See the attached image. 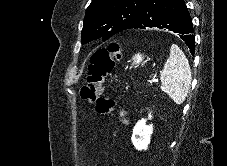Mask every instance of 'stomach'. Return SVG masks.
I'll return each mask as SVG.
<instances>
[{
	"mask_svg": "<svg viewBox=\"0 0 227 166\" xmlns=\"http://www.w3.org/2000/svg\"><path fill=\"white\" fill-rule=\"evenodd\" d=\"M132 62L131 66L133 67H138L140 65H143L144 62H145V59H144V55L138 53V54H135L133 57H132V60L130 61Z\"/></svg>",
	"mask_w": 227,
	"mask_h": 166,
	"instance_id": "obj_1",
	"label": "stomach"
}]
</instances>
